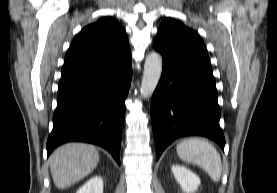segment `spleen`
<instances>
[{"label": "spleen", "instance_id": "3e777b00", "mask_svg": "<svg viewBox=\"0 0 277 193\" xmlns=\"http://www.w3.org/2000/svg\"><path fill=\"white\" fill-rule=\"evenodd\" d=\"M176 151L181 160L200 166L214 182L220 180L221 157L216 148L208 141L202 138L184 139L177 145Z\"/></svg>", "mask_w": 277, "mask_h": 193}]
</instances>
